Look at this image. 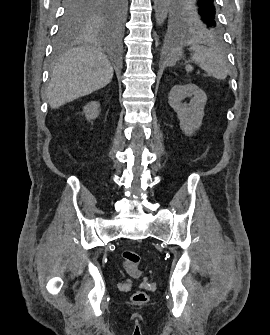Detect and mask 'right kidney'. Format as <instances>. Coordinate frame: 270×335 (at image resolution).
Instances as JSON below:
<instances>
[{"label": "right kidney", "mask_w": 270, "mask_h": 335, "mask_svg": "<svg viewBox=\"0 0 270 335\" xmlns=\"http://www.w3.org/2000/svg\"><path fill=\"white\" fill-rule=\"evenodd\" d=\"M99 106L100 104H98V102H90V104L84 106L83 112L87 120H95V118H98Z\"/></svg>", "instance_id": "obj_1"}]
</instances>
